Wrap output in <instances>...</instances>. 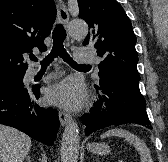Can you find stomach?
I'll use <instances>...</instances> for the list:
<instances>
[{"label": "stomach", "instance_id": "1", "mask_svg": "<svg viewBox=\"0 0 168 162\" xmlns=\"http://www.w3.org/2000/svg\"><path fill=\"white\" fill-rule=\"evenodd\" d=\"M87 149L88 151L98 155H106L110 152L109 146L105 143H90Z\"/></svg>", "mask_w": 168, "mask_h": 162}]
</instances>
